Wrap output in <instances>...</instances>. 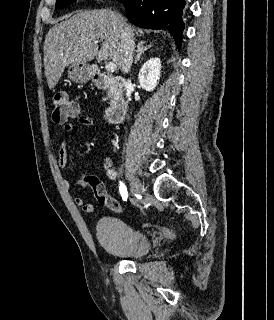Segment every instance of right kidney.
I'll return each mask as SVG.
<instances>
[{"mask_svg": "<svg viewBox=\"0 0 274 320\" xmlns=\"http://www.w3.org/2000/svg\"><path fill=\"white\" fill-rule=\"evenodd\" d=\"M161 60L160 58H150L143 64L138 74V82L146 92H153L161 78Z\"/></svg>", "mask_w": 274, "mask_h": 320, "instance_id": "right-kidney-1", "label": "right kidney"}]
</instances>
